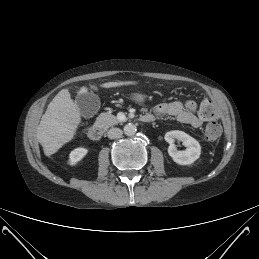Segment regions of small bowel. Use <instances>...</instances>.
<instances>
[{"label":"small bowel","instance_id":"obj_1","mask_svg":"<svg viewBox=\"0 0 259 259\" xmlns=\"http://www.w3.org/2000/svg\"><path fill=\"white\" fill-rule=\"evenodd\" d=\"M197 105L194 101L188 100L185 103L180 101L163 102L155 107V117L173 116L180 123L190 125L194 128H199L209 119L200 111L197 113Z\"/></svg>","mask_w":259,"mask_h":259}]
</instances>
